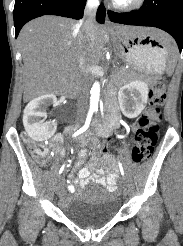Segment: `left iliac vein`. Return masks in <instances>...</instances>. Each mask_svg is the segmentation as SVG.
Instances as JSON below:
<instances>
[{"label": "left iliac vein", "mask_w": 183, "mask_h": 246, "mask_svg": "<svg viewBox=\"0 0 183 246\" xmlns=\"http://www.w3.org/2000/svg\"><path fill=\"white\" fill-rule=\"evenodd\" d=\"M122 193L124 196H126L128 193L127 184L125 182L122 184Z\"/></svg>", "instance_id": "4c4485c4"}]
</instances>
